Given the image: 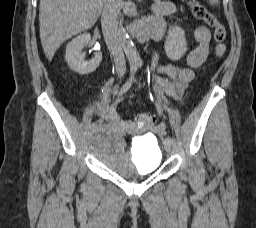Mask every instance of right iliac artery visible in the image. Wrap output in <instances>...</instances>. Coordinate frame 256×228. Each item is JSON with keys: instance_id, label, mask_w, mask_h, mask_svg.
<instances>
[{"instance_id": "right-iliac-artery-1", "label": "right iliac artery", "mask_w": 256, "mask_h": 228, "mask_svg": "<svg viewBox=\"0 0 256 228\" xmlns=\"http://www.w3.org/2000/svg\"><path fill=\"white\" fill-rule=\"evenodd\" d=\"M137 70V67L132 65L130 67V72H131V75L128 79V81L122 86V88L120 89V92H119V95H122L123 93H125L132 85V82H133V79H134V74ZM98 127V124L96 122H93L91 125H90V128L91 129H96Z\"/></svg>"}]
</instances>
